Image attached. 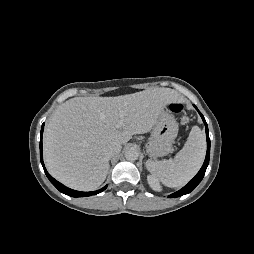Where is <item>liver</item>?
I'll list each match as a JSON object with an SVG mask.
<instances>
[{
    "instance_id": "obj_1",
    "label": "liver",
    "mask_w": 254,
    "mask_h": 254,
    "mask_svg": "<svg viewBox=\"0 0 254 254\" xmlns=\"http://www.w3.org/2000/svg\"><path fill=\"white\" fill-rule=\"evenodd\" d=\"M170 88H152L116 97H75L60 105L44 134V160L49 173L66 186L90 191L109 170L107 147L127 143L134 134L153 129L165 106L179 100ZM125 117L116 124L119 112Z\"/></svg>"
}]
</instances>
